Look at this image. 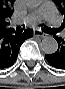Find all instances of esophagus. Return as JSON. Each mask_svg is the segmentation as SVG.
<instances>
[{"instance_id": "esophagus-1", "label": "esophagus", "mask_w": 65, "mask_h": 89, "mask_svg": "<svg viewBox=\"0 0 65 89\" xmlns=\"http://www.w3.org/2000/svg\"><path fill=\"white\" fill-rule=\"evenodd\" d=\"M34 36L40 37V38H46L47 34L40 31V30H34Z\"/></svg>"}]
</instances>
